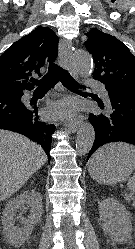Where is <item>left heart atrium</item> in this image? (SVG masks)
Instances as JSON below:
<instances>
[{
    "label": "left heart atrium",
    "instance_id": "obj_1",
    "mask_svg": "<svg viewBox=\"0 0 135 249\" xmlns=\"http://www.w3.org/2000/svg\"><path fill=\"white\" fill-rule=\"evenodd\" d=\"M77 111V103L72 99L61 100L47 107V114L52 118H71L77 114Z\"/></svg>",
    "mask_w": 135,
    "mask_h": 249
}]
</instances>
